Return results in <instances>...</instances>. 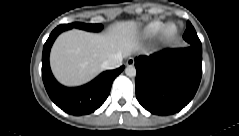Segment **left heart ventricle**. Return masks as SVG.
<instances>
[{"mask_svg": "<svg viewBox=\"0 0 239 136\" xmlns=\"http://www.w3.org/2000/svg\"><path fill=\"white\" fill-rule=\"evenodd\" d=\"M172 32H173V29H170V30H169V33H172Z\"/></svg>", "mask_w": 239, "mask_h": 136, "instance_id": "1", "label": "left heart ventricle"}]
</instances>
